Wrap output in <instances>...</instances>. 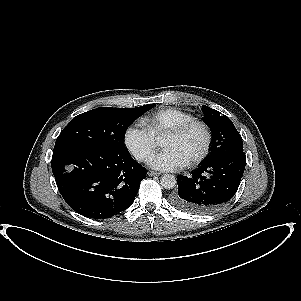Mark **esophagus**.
<instances>
[{
    "label": "esophagus",
    "mask_w": 301,
    "mask_h": 301,
    "mask_svg": "<svg viewBox=\"0 0 301 301\" xmlns=\"http://www.w3.org/2000/svg\"><path fill=\"white\" fill-rule=\"evenodd\" d=\"M148 176H159L160 175V173H158V172H154V171H148Z\"/></svg>",
    "instance_id": "1"
}]
</instances>
